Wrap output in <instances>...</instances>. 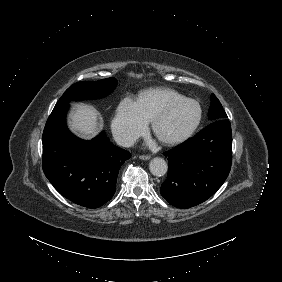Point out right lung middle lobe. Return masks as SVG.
I'll return each instance as SVG.
<instances>
[{
    "label": "right lung middle lobe",
    "mask_w": 282,
    "mask_h": 282,
    "mask_svg": "<svg viewBox=\"0 0 282 282\" xmlns=\"http://www.w3.org/2000/svg\"><path fill=\"white\" fill-rule=\"evenodd\" d=\"M117 86L115 78L102 79L95 82H78L70 86L56 103V106L73 100L97 99L110 94Z\"/></svg>",
    "instance_id": "obj_1"
}]
</instances>
